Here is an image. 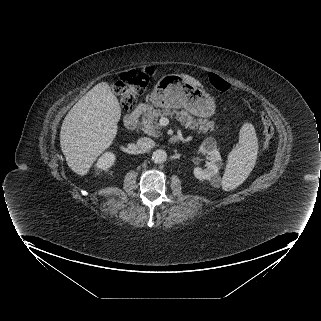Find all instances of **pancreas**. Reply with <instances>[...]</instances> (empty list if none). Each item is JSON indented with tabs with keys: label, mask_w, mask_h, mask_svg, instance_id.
Masks as SVG:
<instances>
[{
	"label": "pancreas",
	"mask_w": 321,
	"mask_h": 321,
	"mask_svg": "<svg viewBox=\"0 0 321 321\" xmlns=\"http://www.w3.org/2000/svg\"><path fill=\"white\" fill-rule=\"evenodd\" d=\"M164 116H175V118L180 121L181 125L185 126L190 130H195L198 133H207L208 131H215L214 122L208 121L207 119H194L185 110H169V109H154L148 110L141 117L140 128L149 136L159 137L162 135L161 126L157 122L158 117Z\"/></svg>",
	"instance_id": "obj_1"
}]
</instances>
